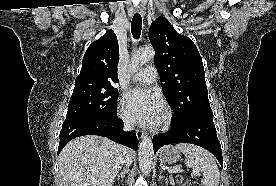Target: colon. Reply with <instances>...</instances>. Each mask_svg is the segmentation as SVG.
<instances>
[{"instance_id":"1","label":"colon","mask_w":276,"mask_h":186,"mask_svg":"<svg viewBox=\"0 0 276 186\" xmlns=\"http://www.w3.org/2000/svg\"><path fill=\"white\" fill-rule=\"evenodd\" d=\"M182 186H198V185H196L195 183H193V182H190V181H186V182H184L183 183V185Z\"/></svg>"}]
</instances>
